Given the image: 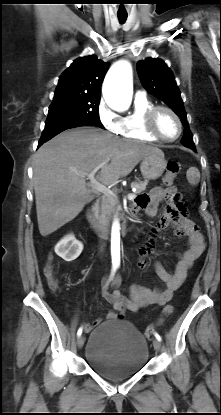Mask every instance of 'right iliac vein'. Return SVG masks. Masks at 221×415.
Segmentation results:
<instances>
[{"mask_svg": "<svg viewBox=\"0 0 221 415\" xmlns=\"http://www.w3.org/2000/svg\"><path fill=\"white\" fill-rule=\"evenodd\" d=\"M84 342H85V338H84V336H79L78 337V339H77V346H78V348H82L83 347V345H84Z\"/></svg>", "mask_w": 221, "mask_h": 415, "instance_id": "1", "label": "right iliac vein"}]
</instances>
